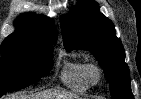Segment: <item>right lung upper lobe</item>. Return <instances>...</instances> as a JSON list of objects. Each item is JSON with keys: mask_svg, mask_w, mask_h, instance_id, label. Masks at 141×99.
Listing matches in <instances>:
<instances>
[{"mask_svg": "<svg viewBox=\"0 0 141 99\" xmlns=\"http://www.w3.org/2000/svg\"><path fill=\"white\" fill-rule=\"evenodd\" d=\"M16 30L5 40L52 44L57 41L54 24L43 15L23 14L14 23Z\"/></svg>", "mask_w": 141, "mask_h": 99, "instance_id": "obj_1", "label": "right lung upper lobe"}]
</instances>
